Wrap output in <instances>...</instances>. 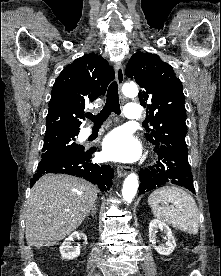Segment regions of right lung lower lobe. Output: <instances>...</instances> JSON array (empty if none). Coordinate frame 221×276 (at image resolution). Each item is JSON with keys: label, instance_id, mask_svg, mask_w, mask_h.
Listing matches in <instances>:
<instances>
[{"label": "right lung lower lobe", "instance_id": "98d812e1", "mask_svg": "<svg viewBox=\"0 0 221 276\" xmlns=\"http://www.w3.org/2000/svg\"><path fill=\"white\" fill-rule=\"evenodd\" d=\"M95 151L96 148L92 147L88 150L42 159L38 164V172L30 180V186H33L43 173H65L97 184L101 191L109 190L114 171L109 165L91 163Z\"/></svg>", "mask_w": 221, "mask_h": 276}]
</instances>
